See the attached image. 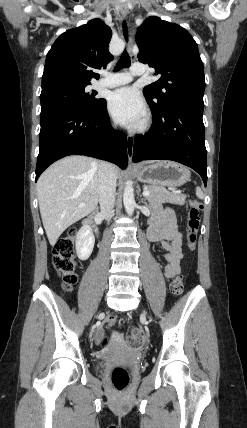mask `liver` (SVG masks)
I'll list each match as a JSON object with an SVG mask.
<instances>
[{"label":"liver","instance_id":"obj_1","mask_svg":"<svg viewBox=\"0 0 247 428\" xmlns=\"http://www.w3.org/2000/svg\"><path fill=\"white\" fill-rule=\"evenodd\" d=\"M99 165L90 157L69 156L52 164L38 179L39 208L51 246L69 226L96 209ZM114 173L117 179L120 175L117 166ZM82 203L85 206L81 207Z\"/></svg>","mask_w":247,"mask_h":428}]
</instances>
